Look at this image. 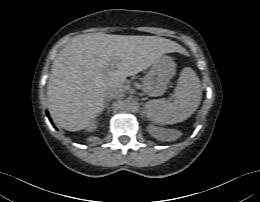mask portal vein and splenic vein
<instances>
[{"mask_svg":"<svg viewBox=\"0 0 260 202\" xmlns=\"http://www.w3.org/2000/svg\"><path fill=\"white\" fill-rule=\"evenodd\" d=\"M114 66H115V63H114V62L110 63V64L108 65V67H107V71H110L111 69H113Z\"/></svg>","mask_w":260,"mask_h":202,"instance_id":"portal-vein-and-splenic-vein-1","label":"portal vein and splenic vein"}]
</instances>
